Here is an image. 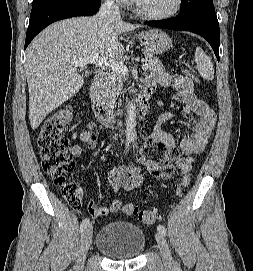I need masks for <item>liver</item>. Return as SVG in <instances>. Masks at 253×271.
<instances>
[{
  "label": "liver",
  "instance_id": "6515ba94",
  "mask_svg": "<svg viewBox=\"0 0 253 271\" xmlns=\"http://www.w3.org/2000/svg\"><path fill=\"white\" fill-rule=\"evenodd\" d=\"M140 25L122 20L105 23L93 17H75L53 23L27 48L26 78L29 120L33 130L53 110L79 92L84 84L76 61L98 54L103 59L122 58L121 33Z\"/></svg>",
  "mask_w": 253,
  "mask_h": 271
}]
</instances>
